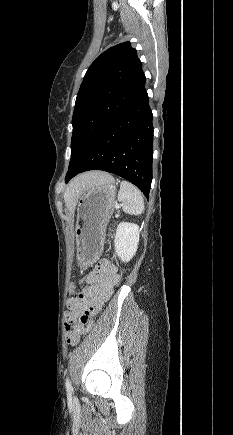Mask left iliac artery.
Masks as SVG:
<instances>
[{
    "instance_id": "left-iliac-artery-1",
    "label": "left iliac artery",
    "mask_w": 233,
    "mask_h": 435,
    "mask_svg": "<svg viewBox=\"0 0 233 435\" xmlns=\"http://www.w3.org/2000/svg\"><path fill=\"white\" fill-rule=\"evenodd\" d=\"M65 386H66V390H67L68 392H71V391L73 390L69 378H66V380H65Z\"/></svg>"
}]
</instances>
